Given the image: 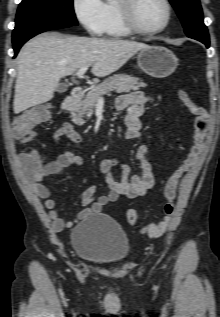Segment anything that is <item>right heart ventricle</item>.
Here are the masks:
<instances>
[{
	"instance_id": "obj_1",
	"label": "right heart ventricle",
	"mask_w": 220,
	"mask_h": 317,
	"mask_svg": "<svg viewBox=\"0 0 220 317\" xmlns=\"http://www.w3.org/2000/svg\"><path fill=\"white\" fill-rule=\"evenodd\" d=\"M102 33L107 37L112 38H123L130 35V32L123 26L119 18L115 0H108L104 3V22Z\"/></svg>"
}]
</instances>
